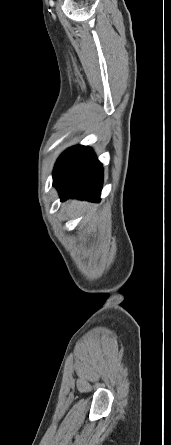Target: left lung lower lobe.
<instances>
[{
    "mask_svg": "<svg viewBox=\"0 0 171 445\" xmlns=\"http://www.w3.org/2000/svg\"><path fill=\"white\" fill-rule=\"evenodd\" d=\"M102 181V164L86 146H74L63 152L53 171V184L62 201L68 198L97 201Z\"/></svg>",
    "mask_w": 171,
    "mask_h": 445,
    "instance_id": "obj_1",
    "label": "left lung lower lobe"
}]
</instances>
